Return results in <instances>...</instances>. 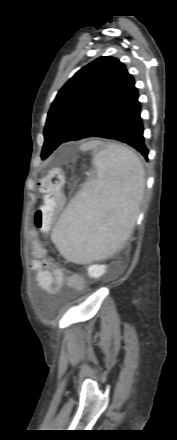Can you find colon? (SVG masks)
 Instances as JSON below:
<instances>
[{
	"label": "colon",
	"instance_id": "1",
	"mask_svg": "<svg viewBox=\"0 0 177 440\" xmlns=\"http://www.w3.org/2000/svg\"><path fill=\"white\" fill-rule=\"evenodd\" d=\"M64 172L61 168H53L40 182V191L43 194V205L35 213V226L40 230L50 227L54 216L61 210L64 197ZM78 276L70 278L74 282Z\"/></svg>",
	"mask_w": 177,
	"mask_h": 440
}]
</instances>
